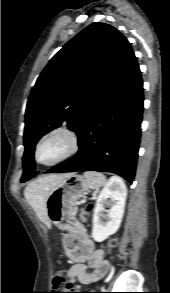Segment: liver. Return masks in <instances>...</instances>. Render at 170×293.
Segmentation results:
<instances>
[{
    "instance_id": "1",
    "label": "liver",
    "mask_w": 170,
    "mask_h": 293,
    "mask_svg": "<svg viewBox=\"0 0 170 293\" xmlns=\"http://www.w3.org/2000/svg\"><path fill=\"white\" fill-rule=\"evenodd\" d=\"M68 174H50L42 176L27 185L24 191V196L27 202L35 211L37 217L47 227H50L48 219L46 202L51 189L58 184Z\"/></svg>"
}]
</instances>
